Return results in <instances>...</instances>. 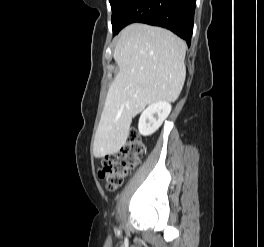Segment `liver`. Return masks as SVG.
I'll return each mask as SVG.
<instances>
[{"label":"liver","mask_w":264,"mask_h":247,"mask_svg":"<svg viewBox=\"0 0 264 247\" xmlns=\"http://www.w3.org/2000/svg\"><path fill=\"white\" fill-rule=\"evenodd\" d=\"M185 42L172 32L134 23L119 35L113 57L119 73L108 89L95 134L96 158L126 143L132 118L147 105L174 102L184 85Z\"/></svg>","instance_id":"obj_1"}]
</instances>
